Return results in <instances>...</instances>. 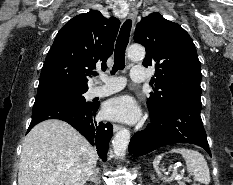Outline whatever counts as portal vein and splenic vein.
I'll return each mask as SVG.
<instances>
[{"label":"portal vein and splenic vein","mask_w":233,"mask_h":185,"mask_svg":"<svg viewBox=\"0 0 233 185\" xmlns=\"http://www.w3.org/2000/svg\"><path fill=\"white\" fill-rule=\"evenodd\" d=\"M172 178H174L175 180H180L182 179V176L178 174L177 172H173Z\"/></svg>","instance_id":"1"}]
</instances>
